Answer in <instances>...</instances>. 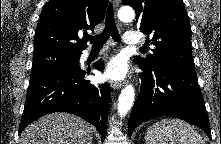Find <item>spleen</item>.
I'll return each mask as SVG.
<instances>
[{
	"label": "spleen",
	"instance_id": "1",
	"mask_svg": "<svg viewBox=\"0 0 221 144\" xmlns=\"http://www.w3.org/2000/svg\"><path fill=\"white\" fill-rule=\"evenodd\" d=\"M205 144L202 136L190 124L174 118L162 119L146 132V144Z\"/></svg>",
	"mask_w": 221,
	"mask_h": 144
}]
</instances>
